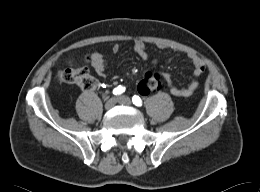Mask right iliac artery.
Instances as JSON below:
<instances>
[{
	"label": "right iliac artery",
	"instance_id": "82829eb1",
	"mask_svg": "<svg viewBox=\"0 0 260 192\" xmlns=\"http://www.w3.org/2000/svg\"><path fill=\"white\" fill-rule=\"evenodd\" d=\"M123 92H125V87L124 86H117L114 90H113V94L114 95H121Z\"/></svg>",
	"mask_w": 260,
	"mask_h": 192
}]
</instances>
